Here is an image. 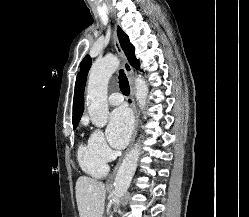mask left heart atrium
Wrapping results in <instances>:
<instances>
[{
  "label": "left heart atrium",
  "mask_w": 249,
  "mask_h": 217,
  "mask_svg": "<svg viewBox=\"0 0 249 217\" xmlns=\"http://www.w3.org/2000/svg\"><path fill=\"white\" fill-rule=\"evenodd\" d=\"M133 118L130 111L124 107L115 109L109 119L108 139L111 145L117 149L123 148L132 133Z\"/></svg>",
  "instance_id": "obj_1"
}]
</instances>
